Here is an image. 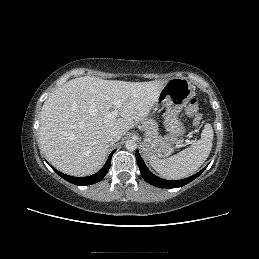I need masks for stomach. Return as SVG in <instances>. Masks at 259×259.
<instances>
[{"instance_id":"0dacf381","label":"stomach","mask_w":259,"mask_h":259,"mask_svg":"<svg viewBox=\"0 0 259 259\" xmlns=\"http://www.w3.org/2000/svg\"><path fill=\"white\" fill-rule=\"evenodd\" d=\"M193 94V85L186 78H173L164 84L157 104L166 108L163 114V124L169 135L154 138L145 134L143 153L148 160H159L169 156L173 152L174 141L186 133V128L179 119V114L186 107Z\"/></svg>"}]
</instances>
